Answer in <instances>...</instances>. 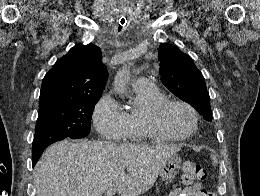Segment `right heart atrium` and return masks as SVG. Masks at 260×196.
<instances>
[{
  "mask_svg": "<svg viewBox=\"0 0 260 196\" xmlns=\"http://www.w3.org/2000/svg\"><path fill=\"white\" fill-rule=\"evenodd\" d=\"M92 119L100 137L93 143H115L117 130L128 126L127 114L114 98L112 92L104 93L96 102Z\"/></svg>",
  "mask_w": 260,
  "mask_h": 196,
  "instance_id": "right-heart-atrium-1",
  "label": "right heart atrium"
}]
</instances>
